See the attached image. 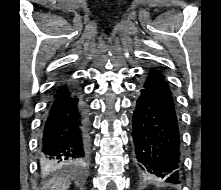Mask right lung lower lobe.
<instances>
[{"label":"right lung lower lobe","mask_w":221,"mask_h":190,"mask_svg":"<svg viewBox=\"0 0 221 190\" xmlns=\"http://www.w3.org/2000/svg\"><path fill=\"white\" fill-rule=\"evenodd\" d=\"M40 158L53 167L83 165L88 158L86 109L78 89L67 82L52 91L41 124Z\"/></svg>","instance_id":"1"}]
</instances>
